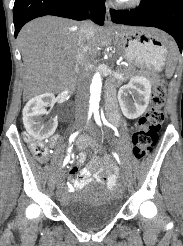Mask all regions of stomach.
Here are the masks:
<instances>
[{
  "instance_id": "1",
  "label": "stomach",
  "mask_w": 183,
  "mask_h": 246,
  "mask_svg": "<svg viewBox=\"0 0 183 246\" xmlns=\"http://www.w3.org/2000/svg\"><path fill=\"white\" fill-rule=\"evenodd\" d=\"M118 47L123 56L148 70L159 71L167 58V42L151 29L118 28L115 32Z\"/></svg>"
}]
</instances>
